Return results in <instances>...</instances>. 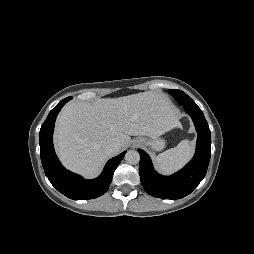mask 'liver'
Wrapping results in <instances>:
<instances>
[{"mask_svg": "<svg viewBox=\"0 0 254 254\" xmlns=\"http://www.w3.org/2000/svg\"><path fill=\"white\" fill-rule=\"evenodd\" d=\"M177 126L178 116L168 97L147 91L93 103L71 102L57 118L55 143L67 168L92 178L111 156L105 151L108 144L118 143L121 150L130 136L157 138Z\"/></svg>", "mask_w": 254, "mask_h": 254, "instance_id": "6515ba94", "label": "liver"}]
</instances>
